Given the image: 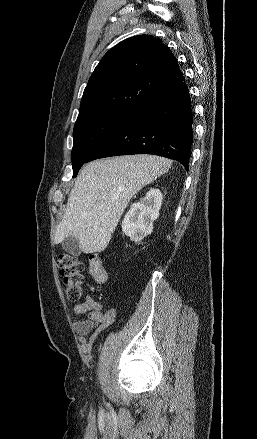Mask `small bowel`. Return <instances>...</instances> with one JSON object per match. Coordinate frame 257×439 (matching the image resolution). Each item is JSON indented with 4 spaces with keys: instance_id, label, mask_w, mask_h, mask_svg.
Here are the masks:
<instances>
[{
    "instance_id": "1",
    "label": "small bowel",
    "mask_w": 257,
    "mask_h": 439,
    "mask_svg": "<svg viewBox=\"0 0 257 439\" xmlns=\"http://www.w3.org/2000/svg\"><path fill=\"white\" fill-rule=\"evenodd\" d=\"M76 315L88 314L85 320L74 323V330L85 352H90L95 342V335L90 333L100 324H111L116 317L114 311L102 312V305L88 296L83 303L74 308Z\"/></svg>"
}]
</instances>
